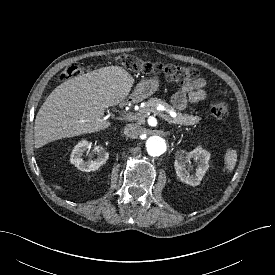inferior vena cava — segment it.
<instances>
[{"label":"inferior vena cava","mask_w":275,"mask_h":275,"mask_svg":"<svg viewBox=\"0 0 275 275\" xmlns=\"http://www.w3.org/2000/svg\"><path fill=\"white\" fill-rule=\"evenodd\" d=\"M124 135L129 138H137L141 133V127L137 124H127L124 127Z\"/></svg>","instance_id":"obj_1"}]
</instances>
